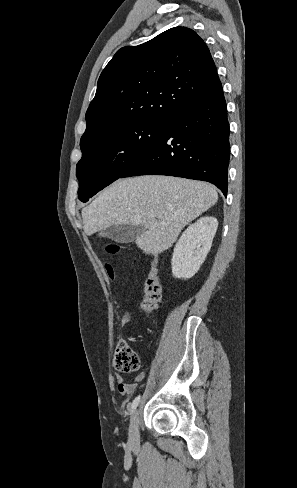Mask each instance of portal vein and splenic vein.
I'll return each mask as SVG.
<instances>
[{
	"label": "portal vein and splenic vein",
	"mask_w": 297,
	"mask_h": 488,
	"mask_svg": "<svg viewBox=\"0 0 297 488\" xmlns=\"http://www.w3.org/2000/svg\"><path fill=\"white\" fill-rule=\"evenodd\" d=\"M155 214L153 212H150L149 213V216H154Z\"/></svg>",
	"instance_id": "18ae733b"
}]
</instances>
